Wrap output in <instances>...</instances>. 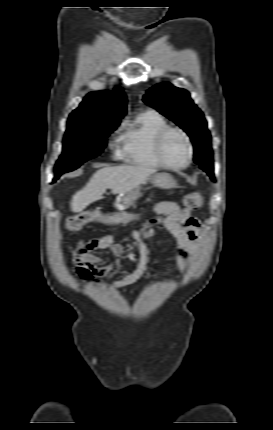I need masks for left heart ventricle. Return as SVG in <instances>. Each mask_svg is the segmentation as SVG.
<instances>
[{
    "mask_svg": "<svg viewBox=\"0 0 273 430\" xmlns=\"http://www.w3.org/2000/svg\"><path fill=\"white\" fill-rule=\"evenodd\" d=\"M163 156L173 165H182L187 161L188 148L184 137L178 132L169 133L163 143Z\"/></svg>",
    "mask_w": 273,
    "mask_h": 430,
    "instance_id": "b2bd125f",
    "label": "left heart ventricle"
}]
</instances>
